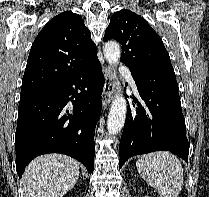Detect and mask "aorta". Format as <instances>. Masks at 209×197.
<instances>
[{
    "mask_svg": "<svg viewBox=\"0 0 209 197\" xmlns=\"http://www.w3.org/2000/svg\"><path fill=\"white\" fill-rule=\"evenodd\" d=\"M104 56L110 65L118 64L121 57V49L119 43L109 41L104 47ZM119 86V83H117ZM118 92L121 88L117 87ZM127 104L122 94H116L112 101L107 122V130L110 135H115L123 128L126 118Z\"/></svg>",
    "mask_w": 209,
    "mask_h": 197,
    "instance_id": "762f6f07",
    "label": "aorta"
}]
</instances>
